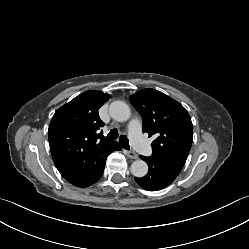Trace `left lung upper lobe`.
I'll list each match as a JSON object with an SVG mask.
<instances>
[{
	"label": "left lung upper lobe",
	"mask_w": 249,
	"mask_h": 249,
	"mask_svg": "<svg viewBox=\"0 0 249 249\" xmlns=\"http://www.w3.org/2000/svg\"><path fill=\"white\" fill-rule=\"evenodd\" d=\"M143 119V131L155 136L152 158L159 166L180 173L192 145L193 125L186 109L155 89L130 96Z\"/></svg>",
	"instance_id": "5c2ea615"
}]
</instances>
